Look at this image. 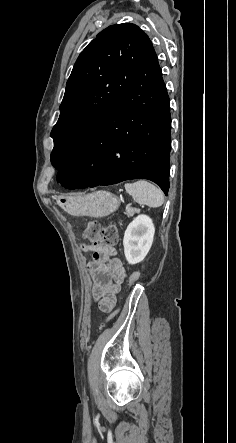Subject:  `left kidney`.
<instances>
[{
  "label": "left kidney",
  "mask_w": 236,
  "mask_h": 443,
  "mask_svg": "<svg viewBox=\"0 0 236 443\" xmlns=\"http://www.w3.org/2000/svg\"><path fill=\"white\" fill-rule=\"evenodd\" d=\"M155 227L147 215L137 216L124 233L123 246L129 264H137L148 254L154 238Z\"/></svg>",
  "instance_id": "1"
}]
</instances>
